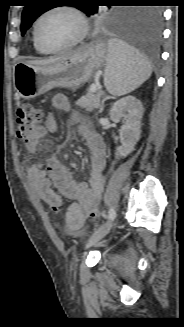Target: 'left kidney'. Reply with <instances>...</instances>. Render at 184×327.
I'll return each mask as SVG.
<instances>
[{"mask_svg": "<svg viewBox=\"0 0 184 327\" xmlns=\"http://www.w3.org/2000/svg\"><path fill=\"white\" fill-rule=\"evenodd\" d=\"M143 106L134 96H126L114 103L110 110V118L118 123L123 119L120 130V141L122 145L116 148V157H126L134 151L136 143L140 139L141 119Z\"/></svg>", "mask_w": 184, "mask_h": 327, "instance_id": "5707ae66", "label": "left kidney"}]
</instances>
